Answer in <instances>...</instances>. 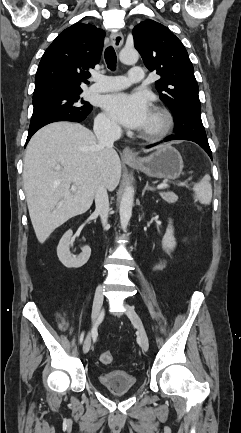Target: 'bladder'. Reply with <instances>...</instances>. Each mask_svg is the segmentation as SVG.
Instances as JSON below:
<instances>
[{
    "mask_svg": "<svg viewBox=\"0 0 241 433\" xmlns=\"http://www.w3.org/2000/svg\"><path fill=\"white\" fill-rule=\"evenodd\" d=\"M99 383L112 393H121L137 386L136 377L126 371H110L98 376Z\"/></svg>",
    "mask_w": 241,
    "mask_h": 433,
    "instance_id": "31cf9c89",
    "label": "bladder"
}]
</instances>
